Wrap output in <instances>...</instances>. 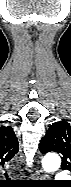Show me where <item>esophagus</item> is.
I'll return each instance as SVG.
<instances>
[{"label":"esophagus","mask_w":71,"mask_h":187,"mask_svg":"<svg viewBox=\"0 0 71 187\" xmlns=\"http://www.w3.org/2000/svg\"><path fill=\"white\" fill-rule=\"evenodd\" d=\"M35 175L39 179H43V178L46 177L44 171L42 169H39V168L36 169Z\"/></svg>","instance_id":"34e87169"}]
</instances>
